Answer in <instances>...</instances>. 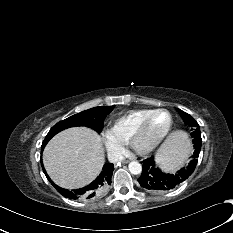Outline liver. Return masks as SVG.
<instances>
[{"mask_svg": "<svg viewBox=\"0 0 233 233\" xmlns=\"http://www.w3.org/2000/svg\"><path fill=\"white\" fill-rule=\"evenodd\" d=\"M179 135H171L160 147L157 161L172 170L181 162ZM44 167L50 178L67 189L82 188L101 172L104 149L101 137L84 127L66 129L53 137L43 152Z\"/></svg>", "mask_w": 233, "mask_h": 233, "instance_id": "obj_1", "label": "liver"}]
</instances>
